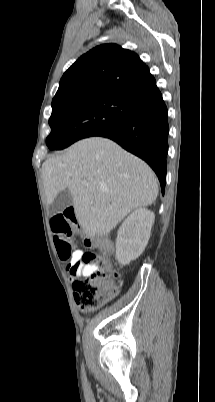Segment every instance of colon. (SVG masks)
<instances>
[{"mask_svg": "<svg viewBox=\"0 0 215 402\" xmlns=\"http://www.w3.org/2000/svg\"><path fill=\"white\" fill-rule=\"evenodd\" d=\"M51 229L54 234V243L59 257L63 260L72 257L73 245L71 236L75 230L76 217L72 209L54 215L51 218ZM88 245L94 244L103 251H109L111 241L105 237L86 239ZM94 265L95 270L87 279H78L74 282V295L78 305L85 311H94L115 293L111 283L112 279L118 278V273L104 255L96 252H84L75 261L73 269L79 266Z\"/></svg>", "mask_w": 215, "mask_h": 402, "instance_id": "obj_1", "label": "colon"}]
</instances>
